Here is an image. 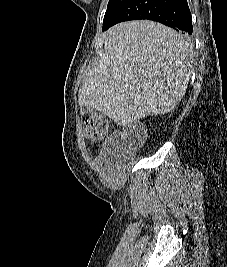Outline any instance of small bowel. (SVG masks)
Listing matches in <instances>:
<instances>
[{
  "label": "small bowel",
  "instance_id": "small-bowel-1",
  "mask_svg": "<svg viewBox=\"0 0 227 267\" xmlns=\"http://www.w3.org/2000/svg\"><path fill=\"white\" fill-rule=\"evenodd\" d=\"M115 140L116 139L113 138L104 145L100 155L98 156V161L100 163L108 162L110 157L114 154Z\"/></svg>",
  "mask_w": 227,
  "mask_h": 267
}]
</instances>
